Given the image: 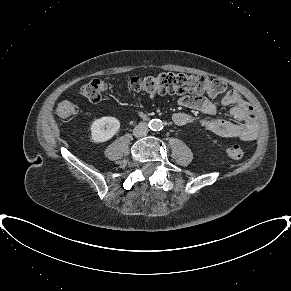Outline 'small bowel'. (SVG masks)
Instances as JSON below:
<instances>
[{
  "label": "small bowel",
  "mask_w": 291,
  "mask_h": 291,
  "mask_svg": "<svg viewBox=\"0 0 291 291\" xmlns=\"http://www.w3.org/2000/svg\"><path fill=\"white\" fill-rule=\"evenodd\" d=\"M181 106L202 112L215 114L219 107H230V115L233 121L220 119H196L186 112H177L173 115V121L178 126L197 123L203 129L218 136L252 141L258 135V123L253 108L233 90L224 94L219 104H215L201 95H185L178 99Z\"/></svg>",
  "instance_id": "c3829d8e"
}]
</instances>
